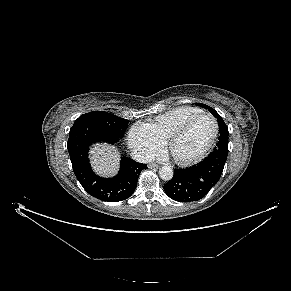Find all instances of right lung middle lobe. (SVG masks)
Wrapping results in <instances>:
<instances>
[{"label": "right lung middle lobe", "mask_w": 291, "mask_h": 291, "mask_svg": "<svg viewBox=\"0 0 291 291\" xmlns=\"http://www.w3.org/2000/svg\"><path fill=\"white\" fill-rule=\"evenodd\" d=\"M83 125H92L106 134L121 139L128 127V120L108 112L93 111L77 118L72 127Z\"/></svg>", "instance_id": "1"}]
</instances>
